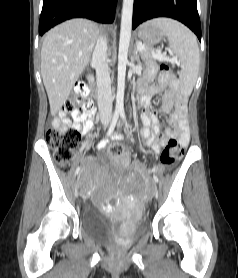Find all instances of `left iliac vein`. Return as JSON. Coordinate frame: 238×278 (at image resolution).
<instances>
[{"instance_id":"1","label":"left iliac vein","mask_w":238,"mask_h":278,"mask_svg":"<svg viewBox=\"0 0 238 278\" xmlns=\"http://www.w3.org/2000/svg\"><path fill=\"white\" fill-rule=\"evenodd\" d=\"M159 194H160V191H156V193H155L156 197H159Z\"/></svg>"}]
</instances>
